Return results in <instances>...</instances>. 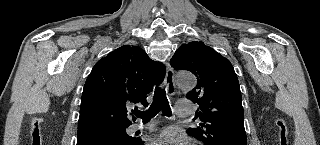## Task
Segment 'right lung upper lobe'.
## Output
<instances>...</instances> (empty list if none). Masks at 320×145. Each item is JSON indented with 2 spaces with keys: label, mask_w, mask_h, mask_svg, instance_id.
Listing matches in <instances>:
<instances>
[{
  "label": "right lung upper lobe",
  "mask_w": 320,
  "mask_h": 145,
  "mask_svg": "<svg viewBox=\"0 0 320 145\" xmlns=\"http://www.w3.org/2000/svg\"><path fill=\"white\" fill-rule=\"evenodd\" d=\"M165 73L164 64L151 60L138 46L124 45L110 52L95 64L84 85L78 133L128 127L127 109L147 106L146 94Z\"/></svg>",
  "instance_id": "obj_1"
}]
</instances>
